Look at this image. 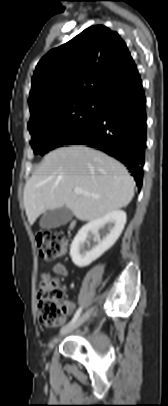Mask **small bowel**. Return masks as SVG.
I'll return each instance as SVG.
<instances>
[{
  "mask_svg": "<svg viewBox=\"0 0 168 406\" xmlns=\"http://www.w3.org/2000/svg\"><path fill=\"white\" fill-rule=\"evenodd\" d=\"M53 270L56 274H58L60 276H66V274H67L66 269L61 264H56L54 266ZM62 308H63L64 315L62 317L60 324L63 323L66 320V316L69 315L74 310L75 305L72 301L65 300L63 302ZM53 327H55V326H53Z\"/></svg>",
  "mask_w": 168,
  "mask_h": 406,
  "instance_id": "obj_1",
  "label": "small bowel"
}]
</instances>
